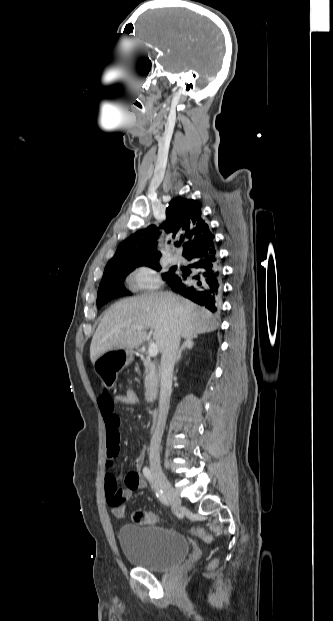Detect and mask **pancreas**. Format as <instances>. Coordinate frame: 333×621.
<instances>
[{
  "instance_id": "cf45deb5",
  "label": "pancreas",
  "mask_w": 333,
  "mask_h": 621,
  "mask_svg": "<svg viewBox=\"0 0 333 621\" xmlns=\"http://www.w3.org/2000/svg\"><path fill=\"white\" fill-rule=\"evenodd\" d=\"M144 366H145V381H144V385H145V400L147 402H153V400L156 399L157 397V391H158V385H159V373L158 370L156 369L155 364L149 360V359H144Z\"/></svg>"
}]
</instances>
